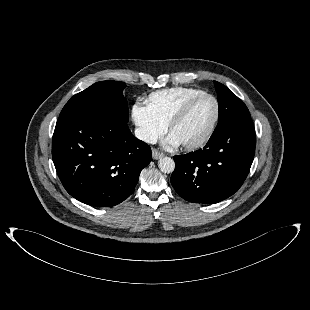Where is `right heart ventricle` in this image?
Returning <instances> with one entry per match:
<instances>
[{"label":"right heart ventricle","mask_w":310,"mask_h":310,"mask_svg":"<svg viewBox=\"0 0 310 310\" xmlns=\"http://www.w3.org/2000/svg\"><path fill=\"white\" fill-rule=\"evenodd\" d=\"M205 93L190 87H173L151 93L146 104L159 120L168 124L178 109L189 99Z\"/></svg>","instance_id":"e07e8e85"}]
</instances>
